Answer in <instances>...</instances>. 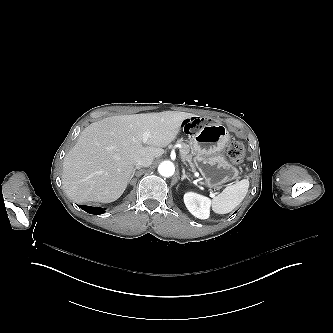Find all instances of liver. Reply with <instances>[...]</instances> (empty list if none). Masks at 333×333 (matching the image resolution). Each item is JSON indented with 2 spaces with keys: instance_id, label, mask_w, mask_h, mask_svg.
<instances>
[{
  "instance_id": "obj_1",
  "label": "liver",
  "mask_w": 333,
  "mask_h": 333,
  "mask_svg": "<svg viewBox=\"0 0 333 333\" xmlns=\"http://www.w3.org/2000/svg\"><path fill=\"white\" fill-rule=\"evenodd\" d=\"M191 113L165 111L121 115L94 122L63 161L62 184L76 203H110L125 191L139 159H157L180 134ZM149 133L147 141L143 135Z\"/></svg>"
}]
</instances>
